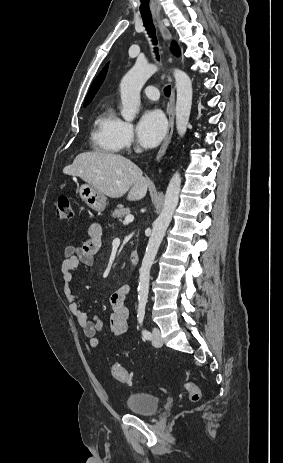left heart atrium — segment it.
<instances>
[{"instance_id":"obj_1","label":"left heart atrium","mask_w":283,"mask_h":463,"mask_svg":"<svg viewBox=\"0 0 283 463\" xmlns=\"http://www.w3.org/2000/svg\"><path fill=\"white\" fill-rule=\"evenodd\" d=\"M167 130L163 113L157 109L145 111L137 125L138 140L144 147L151 148L160 143Z\"/></svg>"}]
</instances>
